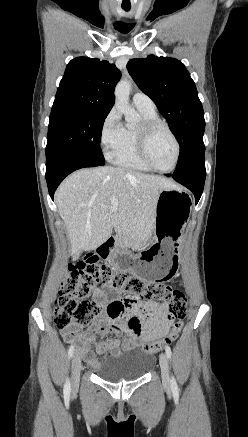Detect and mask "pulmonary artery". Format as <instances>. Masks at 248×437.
<instances>
[{
  "instance_id": "obj_1",
  "label": "pulmonary artery",
  "mask_w": 248,
  "mask_h": 437,
  "mask_svg": "<svg viewBox=\"0 0 248 437\" xmlns=\"http://www.w3.org/2000/svg\"><path fill=\"white\" fill-rule=\"evenodd\" d=\"M132 101L137 109L156 111V106L153 100L142 92H136L132 97Z\"/></svg>"
}]
</instances>
